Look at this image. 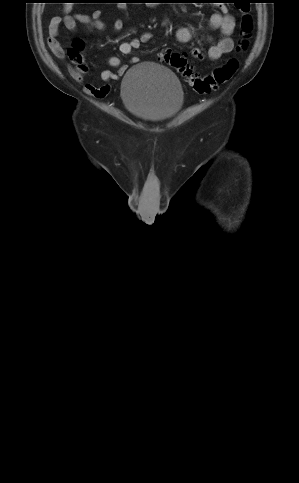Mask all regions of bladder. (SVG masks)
<instances>
[{
    "mask_svg": "<svg viewBox=\"0 0 299 483\" xmlns=\"http://www.w3.org/2000/svg\"><path fill=\"white\" fill-rule=\"evenodd\" d=\"M121 98L133 115L148 122L173 118L184 103L183 90L176 75L151 62L139 63L125 73Z\"/></svg>",
    "mask_w": 299,
    "mask_h": 483,
    "instance_id": "bladder-1",
    "label": "bladder"
}]
</instances>
